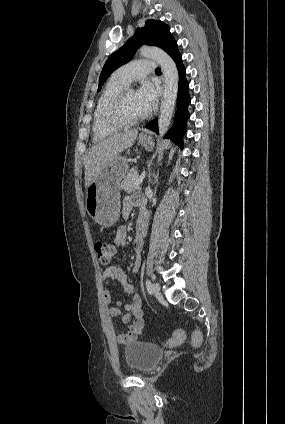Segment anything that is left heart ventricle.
Returning <instances> with one entry per match:
<instances>
[{"label": "left heart ventricle", "mask_w": 285, "mask_h": 424, "mask_svg": "<svg viewBox=\"0 0 285 424\" xmlns=\"http://www.w3.org/2000/svg\"><path fill=\"white\" fill-rule=\"evenodd\" d=\"M123 113L128 119H135L145 115L137 102L136 93L131 91L127 94L123 104Z\"/></svg>", "instance_id": "1"}]
</instances>
